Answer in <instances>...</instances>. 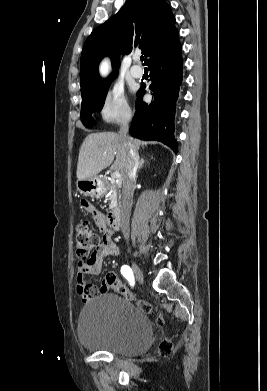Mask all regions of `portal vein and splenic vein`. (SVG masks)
Instances as JSON below:
<instances>
[{
	"instance_id": "portal-vein-and-splenic-vein-1",
	"label": "portal vein and splenic vein",
	"mask_w": 267,
	"mask_h": 391,
	"mask_svg": "<svg viewBox=\"0 0 267 391\" xmlns=\"http://www.w3.org/2000/svg\"><path fill=\"white\" fill-rule=\"evenodd\" d=\"M111 176L113 179H115V178H120L121 175H120V172L115 171Z\"/></svg>"
}]
</instances>
